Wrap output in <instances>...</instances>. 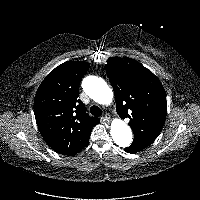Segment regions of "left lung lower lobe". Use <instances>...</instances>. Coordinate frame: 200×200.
<instances>
[{
  "mask_svg": "<svg viewBox=\"0 0 200 200\" xmlns=\"http://www.w3.org/2000/svg\"><path fill=\"white\" fill-rule=\"evenodd\" d=\"M124 150H125V152H127V153H132V154H134V153H137V152H139V151H142L143 149H138V148H136V147L129 146V147L125 148Z\"/></svg>",
  "mask_w": 200,
  "mask_h": 200,
  "instance_id": "1",
  "label": "left lung lower lobe"
}]
</instances>
